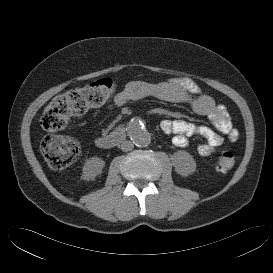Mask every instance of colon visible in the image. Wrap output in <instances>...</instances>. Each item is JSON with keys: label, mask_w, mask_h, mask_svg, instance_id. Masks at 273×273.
I'll list each match as a JSON object with an SVG mask.
<instances>
[{"label": "colon", "mask_w": 273, "mask_h": 273, "mask_svg": "<svg viewBox=\"0 0 273 273\" xmlns=\"http://www.w3.org/2000/svg\"><path fill=\"white\" fill-rule=\"evenodd\" d=\"M118 86L112 79L98 80L83 88L71 90L55 98L43 111L41 125L45 130L63 129L69 119L81 115L91 108L99 107L110 101ZM41 152L48 166L62 170L72 165L80 154V145L69 136H49L41 142ZM233 152L226 151L217 159V169L227 171L234 166Z\"/></svg>", "instance_id": "1"}]
</instances>
